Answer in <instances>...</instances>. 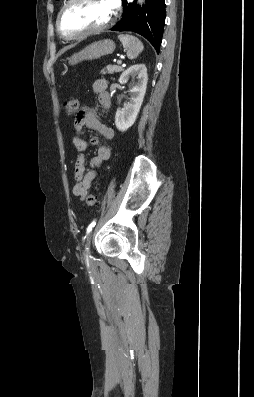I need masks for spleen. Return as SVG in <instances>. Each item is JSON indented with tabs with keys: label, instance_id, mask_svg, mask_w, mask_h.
Masks as SVG:
<instances>
[{
	"label": "spleen",
	"instance_id": "3e777b00",
	"mask_svg": "<svg viewBox=\"0 0 254 397\" xmlns=\"http://www.w3.org/2000/svg\"><path fill=\"white\" fill-rule=\"evenodd\" d=\"M118 39L122 43L123 47L126 50L127 56L130 59H135L138 57V55L143 51L144 46L141 43V41L132 36V35H127V34H120L118 36Z\"/></svg>",
	"mask_w": 254,
	"mask_h": 397
}]
</instances>
